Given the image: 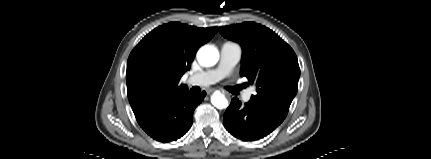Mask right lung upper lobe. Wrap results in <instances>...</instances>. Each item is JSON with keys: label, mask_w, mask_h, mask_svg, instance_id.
<instances>
[{"label": "right lung upper lobe", "mask_w": 431, "mask_h": 159, "mask_svg": "<svg viewBox=\"0 0 431 159\" xmlns=\"http://www.w3.org/2000/svg\"><path fill=\"white\" fill-rule=\"evenodd\" d=\"M216 32L217 27L170 22L152 30L137 44L126 71L128 99L136 119L188 89L179 81L198 48Z\"/></svg>", "instance_id": "right-lung-upper-lobe-1"}]
</instances>
